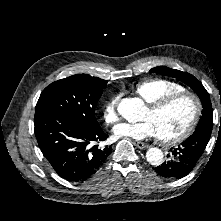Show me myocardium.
Listing matches in <instances>:
<instances>
[{"label": "myocardium", "instance_id": "myocardium-1", "mask_svg": "<svg viewBox=\"0 0 221 221\" xmlns=\"http://www.w3.org/2000/svg\"><path fill=\"white\" fill-rule=\"evenodd\" d=\"M184 98L189 99L193 105V114L191 120L188 123V125L185 127V129L181 133L175 136L168 138H161L158 136L160 142L164 145H175L180 142H183L193 133L201 116L202 112L201 101L194 93L189 91H181L165 95L159 98L158 100L148 104V109L151 112H158L164 109L165 107H167L168 105L172 104L173 102Z\"/></svg>", "mask_w": 221, "mask_h": 221}]
</instances>
